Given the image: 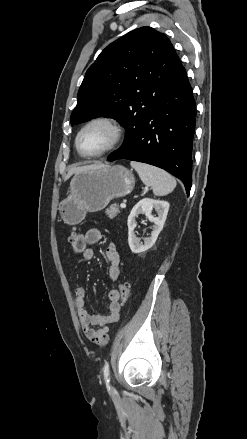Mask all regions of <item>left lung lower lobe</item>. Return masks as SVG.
Instances as JSON below:
<instances>
[{"label": "left lung lower lobe", "instance_id": "1", "mask_svg": "<svg viewBox=\"0 0 247 439\" xmlns=\"http://www.w3.org/2000/svg\"><path fill=\"white\" fill-rule=\"evenodd\" d=\"M194 128L195 102L185 71L158 96L150 115L108 160L128 159L160 167L179 178L189 195Z\"/></svg>", "mask_w": 247, "mask_h": 439}]
</instances>
